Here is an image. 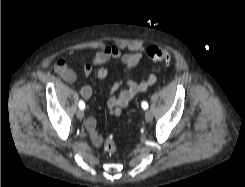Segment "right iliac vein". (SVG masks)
Wrapping results in <instances>:
<instances>
[{
    "label": "right iliac vein",
    "mask_w": 245,
    "mask_h": 187,
    "mask_svg": "<svg viewBox=\"0 0 245 187\" xmlns=\"http://www.w3.org/2000/svg\"><path fill=\"white\" fill-rule=\"evenodd\" d=\"M76 116L78 119H83L84 118V111L83 110H78L76 113Z\"/></svg>",
    "instance_id": "obj_1"
}]
</instances>
